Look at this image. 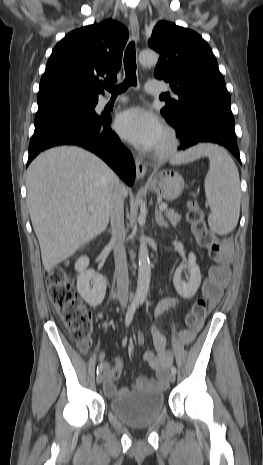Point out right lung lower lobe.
Returning a JSON list of instances; mask_svg holds the SVG:
<instances>
[{"instance_id": "obj_1", "label": "right lung lower lobe", "mask_w": 263, "mask_h": 465, "mask_svg": "<svg viewBox=\"0 0 263 465\" xmlns=\"http://www.w3.org/2000/svg\"><path fill=\"white\" fill-rule=\"evenodd\" d=\"M107 115L53 113L35 119L27 165L41 151L58 145H77L102 158L128 185L135 180L132 154L111 130Z\"/></svg>"}]
</instances>
